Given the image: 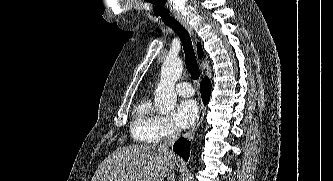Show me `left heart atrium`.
<instances>
[{"label":"left heart atrium","instance_id":"left-heart-atrium-1","mask_svg":"<svg viewBox=\"0 0 333 181\" xmlns=\"http://www.w3.org/2000/svg\"><path fill=\"white\" fill-rule=\"evenodd\" d=\"M199 108L194 100H182L178 103L173 118L175 123L181 128H188L198 118Z\"/></svg>","mask_w":333,"mask_h":181}]
</instances>
